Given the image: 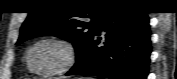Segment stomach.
Listing matches in <instances>:
<instances>
[{
  "instance_id": "0dacf381",
  "label": "stomach",
  "mask_w": 177,
  "mask_h": 79,
  "mask_svg": "<svg viewBox=\"0 0 177 79\" xmlns=\"http://www.w3.org/2000/svg\"><path fill=\"white\" fill-rule=\"evenodd\" d=\"M78 79H88V78H78Z\"/></svg>"
}]
</instances>
